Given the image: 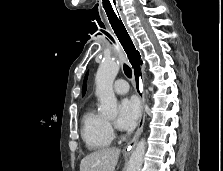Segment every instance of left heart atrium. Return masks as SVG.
I'll use <instances>...</instances> for the list:
<instances>
[{
    "label": "left heart atrium",
    "instance_id": "39dd6f15",
    "mask_svg": "<svg viewBox=\"0 0 223 171\" xmlns=\"http://www.w3.org/2000/svg\"><path fill=\"white\" fill-rule=\"evenodd\" d=\"M140 115V105L136 98H124L119 104L116 126L121 130H131L135 127Z\"/></svg>",
    "mask_w": 223,
    "mask_h": 171
}]
</instances>
